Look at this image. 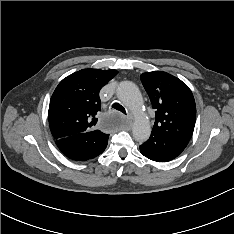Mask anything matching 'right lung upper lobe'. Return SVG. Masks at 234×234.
<instances>
[{
  "label": "right lung upper lobe",
  "mask_w": 234,
  "mask_h": 234,
  "mask_svg": "<svg viewBox=\"0 0 234 234\" xmlns=\"http://www.w3.org/2000/svg\"><path fill=\"white\" fill-rule=\"evenodd\" d=\"M116 70L83 69L64 78L56 87L49 105V125L58 140L96 130L101 110L99 91Z\"/></svg>",
  "instance_id": "cb5924a9"
}]
</instances>
